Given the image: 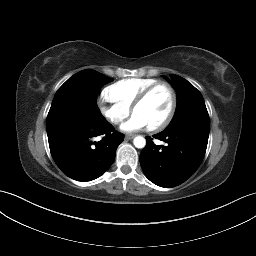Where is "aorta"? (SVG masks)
<instances>
[{
	"mask_svg": "<svg viewBox=\"0 0 256 256\" xmlns=\"http://www.w3.org/2000/svg\"><path fill=\"white\" fill-rule=\"evenodd\" d=\"M133 144L136 148H144L146 145V140L142 136H137L134 138Z\"/></svg>",
	"mask_w": 256,
	"mask_h": 256,
	"instance_id": "1",
	"label": "aorta"
}]
</instances>
